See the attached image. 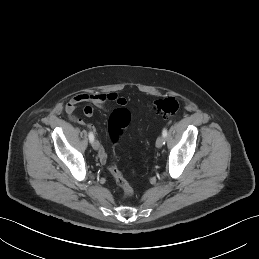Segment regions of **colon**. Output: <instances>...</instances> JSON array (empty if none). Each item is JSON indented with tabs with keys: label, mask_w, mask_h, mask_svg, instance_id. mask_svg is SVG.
I'll return each instance as SVG.
<instances>
[{
	"label": "colon",
	"mask_w": 259,
	"mask_h": 259,
	"mask_svg": "<svg viewBox=\"0 0 259 259\" xmlns=\"http://www.w3.org/2000/svg\"><path fill=\"white\" fill-rule=\"evenodd\" d=\"M179 108V102L174 97L160 99L153 105V110L155 113L163 116L164 118H170L176 115ZM130 122L131 113L124 107L117 108L110 114L108 120V136L113 145H116L121 141ZM108 168L122 191V197H131L133 195V188L118 169L114 156L110 158Z\"/></svg>",
	"instance_id": "5ec220e1"
}]
</instances>
